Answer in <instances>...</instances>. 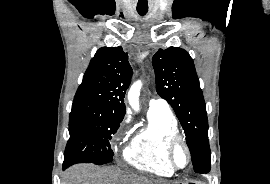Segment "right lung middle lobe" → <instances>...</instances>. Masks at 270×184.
Returning <instances> with one entry per match:
<instances>
[{"label":"right lung middle lobe","instance_id":"right-lung-middle-lobe-1","mask_svg":"<svg viewBox=\"0 0 270 184\" xmlns=\"http://www.w3.org/2000/svg\"><path fill=\"white\" fill-rule=\"evenodd\" d=\"M122 119L97 112L86 103H73L69 116L70 139L64 155L63 168L74 163L102 165L113 159L109 141Z\"/></svg>","mask_w":270,"mask_h":184}]
</instances>
